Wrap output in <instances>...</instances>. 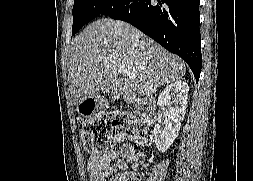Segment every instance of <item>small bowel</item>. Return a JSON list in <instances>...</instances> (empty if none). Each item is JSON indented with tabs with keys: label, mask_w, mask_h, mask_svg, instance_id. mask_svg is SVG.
Returning <instances> with one entry per match:
<instances>
[{
	"label": "small bowel",
	"mask_w": 253,
	"mask_h": 181,
	"mask_svg": "<svg viewBox=\"0 0 253 181\" xmlns=\"http://www.w3.org/2000/svg\"><path fill=\"white\" fill-rule=\"evenodd\" d=\"M140 158L133 145L124 143L116 150L93 154L88 159L87 171L90 181H117L126 175L127 163ZM115 162V163H113Z\"/></svg>",
	"instance_id": "1"
}]
</instances>
